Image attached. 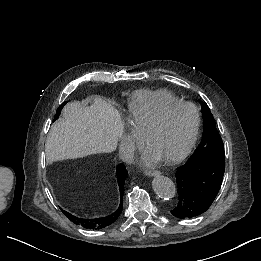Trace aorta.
Masks as SVG:
<instances>
[{"instance_id":"aorta-1","label":"aorta","mask_w":261,"mask_h":261,"mask_svg":"<svg viewBox=\"0 0 261 261\" xmlns=\"http://www.w3.org/2000/svg\"><path fill=\"white\" fill-rule=\"evenodd\" d=\"M153 190L159 198L169 200L176 195L174 182L165 176H156L152 182Z\"/></svg>"}]
</instances>
